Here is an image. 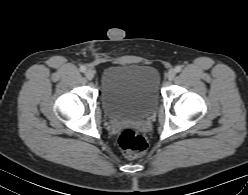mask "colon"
I'll return each mask as SVG.
<instances>
[{"label":"colon","instance_id":"obj_1","mask_svg":"<svg viewBox=\"0 0 248 195\" xmlns=\"http://www.w3.org/2000/svg\"><path fill=\"white\" fill-rule=\"evenodd\" d=\"M118 144L128 157L142 154L147 147L145 138L133 128H126L120 133Z\"/></svg>","mask_w":248,"mask_h":195}]
</instances>
